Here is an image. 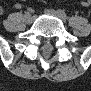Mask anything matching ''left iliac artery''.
Wrapping results in <instances>:
<instances>
[{"instance_id":"1","label":"left iliac artery","mask_w":91,"mask_h":91,"mask_svg":"<svg viewBox=\"0 0 91 91\" xmlns=\"http://www.w3.org/2000/svg\"><path fill=\"white\" fill-rule=\"evenodd\" d=\"M58 13H59V15L61 16L62 19L66 20L68 18L66 13L64 12V10H58Z\"/></svg>"}]
</instances>
